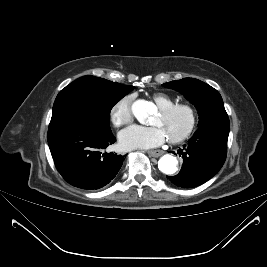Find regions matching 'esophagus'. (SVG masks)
Here are the masks:
<instances>
[{"mask_svg":"<svg viewBox=\"0 0 267 267\" xmlns=\"http://www.w3.org/2000/svg\"><path fill=\"white\" fill-rule=\"evenodd\" d=\"M164 152L162 150H152L148 151V154L153 157H159L163 154Z\"/></svg>","mask_w":267,"mask_h":267,"instance_id":"obj_1","label":"esophagus"}]
</instances>
